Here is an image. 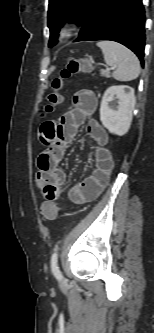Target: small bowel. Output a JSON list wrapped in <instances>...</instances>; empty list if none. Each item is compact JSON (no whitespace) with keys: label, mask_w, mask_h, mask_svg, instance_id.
Returning a JSON list of instances; mask_svg holds the SVG:
<instances>
[{"label":"small bowel","mask_w":154,"mask_h":333,"mask_svg":"<svg viewBox=\"0 0 154 333\" xmlns=\"http://www.w3.org/2000/svg\"><path fill=\"white\" fill-rule=\"evenodd\" d=\"M97 108V97L88 89L78 90L72 98V108L57 121H44L38 131L44 145L38 157L36 183L47 201H56L66 179L60 168L66 148L77 135L80 126L87 122V132L95 142V168L91 175L71 187L69 199L75 204L95 200L109 182L113 168L111 154L107 149L108 133L92 118Z\"/></svg>","instance_id":"small-bowel-1"}]
</instances>
